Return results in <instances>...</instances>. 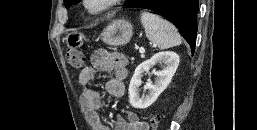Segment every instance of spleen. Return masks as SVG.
<instances>
[{
    "label": "spleen",
    "mask_w": 257,
    "mask_h": 130,
    "mask_svg": "<svg viewBox=\"0 0 257 130\" xmlns=\"http://www.w3.org/2000/svg\"><path fill=\"white\" fill-rule=\"evenodd\" d=\"M141 23L147 38L160 49H168L181 44V36L168 21L150 12H141Z\"/></svg>",
    "instance_id": "1"
}]
</instances>
